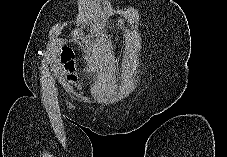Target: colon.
I'll return each instance as SVG.
<instances>
[{
	"label": "colon",
	"mask_w": 227,
	"mask_h": 157,
	"mask_svg": "<svg viewBox=\"0 0 227 157\" xmlns=\"http://www.w3.org/2000/svg\"><path fill=\"white\" fill-rule=\"evenodd\" d=\"M61 60L67 73V79L72 84L76 83L77 73L73 53L69 49H64L61 54Z\"/></svg>",
	"instance_id": "colon-1"
}]
</instances>
